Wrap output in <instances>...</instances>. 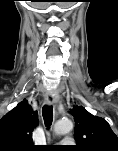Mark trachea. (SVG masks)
Here are the masks:
<instances>
[{
	"label": "trachea",
	"instance_id": "trachea-1",
	"mask_svg": "<svg viewBox=\"0 0 118 151\" xmlns=\"http://www.w3.org/2000/svg\"><path fill=\"white\" fill-rule=\"evenodd\" d=\"M42 115H43L46 127L49 128L51 126L52 120H53V107L47 106V105L43 106Z\"/></svg>",
	"mask_w": 118,
	"mask_h": 151
}]
</instances>
